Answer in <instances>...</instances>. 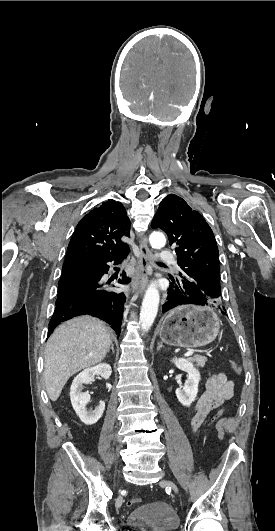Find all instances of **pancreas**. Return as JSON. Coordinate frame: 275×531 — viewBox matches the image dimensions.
Segmentation results:
<instances>
[{
    "label": "pancreas",
    "instance_id": "1",
    "mask_svg": "<svg viewBox=\"0 0 275 531\" xmlns=\"http://www.w3.org/2000/svg\"><path fill=\"white\" fill-rule=\"evenodd\" d=\"M188 361H191V363H196V367H204L207 359L206 357H202V355H194V357H190Z\"/></svg>",
    "mask_w": 275,
    "mask_h": 531
}]
</instances>
